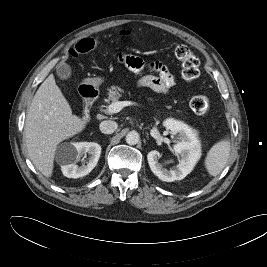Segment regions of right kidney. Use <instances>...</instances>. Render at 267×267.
<instances>
[{
  "label": "right kidney",
  "mask_w": 267,
  "mask_h": 267,
  "mask_svg": "<svg viewBox=\"0 0 267 267\" xmlns=\"http://www.w3.org/2000/svg\"><path fill=\"white\" fill-rule=\"evenodd\" d=\"M68 158L61 166L63 175L68 178H79L89 174L97 165L101 154V146L95 142H79L70 145ZM89 154L86 165L78 166L77 162L83 154Z\"/></svg>",
  "instance_id": "ca27d5eb"
}]
</instances>
